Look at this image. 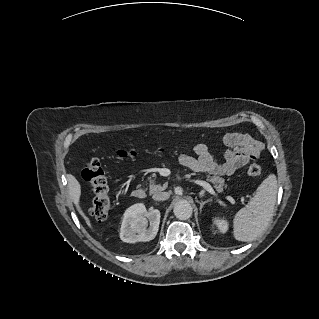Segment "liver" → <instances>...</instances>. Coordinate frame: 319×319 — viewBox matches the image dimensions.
Segmentation results:
<instances>
[{
  "label": "liver",
  "mask_w": 319,
  "mask_h": 319,
  "mask_svg": "<svg viewBox=\"0 0 319 319\" xmlns=\"http://www.w3.org/2000/svg\"><path fill=\"white\" fill-rule=\"evenodd\" d=\"M68 187H69V192L72 198V201L74 202L78 212L81 214V216L84 218L86 221L87 225L89 227H92L90 219L85 215V213L82 211L79 202H80V196H81V186L80 183L77 181V179L69 175L68 177Z\"/></svg>",
  "instance_id": "1"
}]
</instances>
